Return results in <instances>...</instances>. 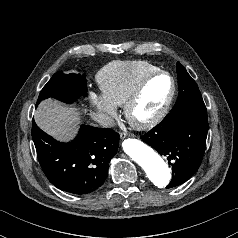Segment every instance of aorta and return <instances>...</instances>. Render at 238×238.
Returning a JSON list of instances; mask_svg holds the SVG:
<instances>
[{
	"instance_id": "aorta-1",
	"label": "aorta",
	"mask_w": 238,
	"mask_h": 238,
	"mask_svg": "<svg viewBox=\"0 0 238 238\" xmlns=\"http://www.w3.org/2000/svg\"><path fill=\"white\" fill-rule=\"evenodd\" d=\"M124 152L146 172L148 178L158 187L166 186L171 179V172L164 160L143 142L128 138L123 141Z\"/></svg>"
}]
</instances>
